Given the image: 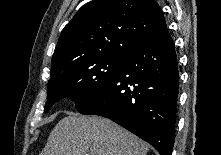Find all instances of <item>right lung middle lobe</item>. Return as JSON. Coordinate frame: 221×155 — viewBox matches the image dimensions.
Segmentation results:
<instances>
[{
  "label": "right lung middle lobe",
  "instance_id": "obj_1",
  "mask_svg": "<svg viewBox=\"0 0 221 155\" xmlns=\"http://www.w3.org/2000/svg\"><path fill=\"white\" fill-rule=\"evenodd\" d=\"M126 55H109L73 62L51 74L48 82V99L45 113L65 96L76 101L82 110L112 80Z\"/></svg>",
  "mask_w": 221,
  "mask_h": 155
}]
</instances>
